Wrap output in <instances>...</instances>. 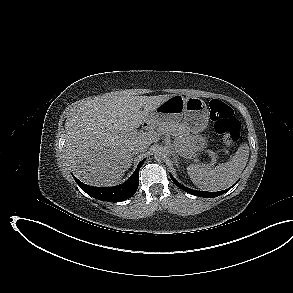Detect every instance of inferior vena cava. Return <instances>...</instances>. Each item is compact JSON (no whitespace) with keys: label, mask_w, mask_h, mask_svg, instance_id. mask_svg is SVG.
Segmentation results:
<instances>
[{"label":"inferior vena cava","mask_w":293,"mask_h":293,"mask_svg":"<svg viewBox=\"0 0 293 293\" xmlns=\"http://www.w3.org/2000/svg\"><path fill=\"white\" fill-rule=\"evenodd\" d=\"M146 146L144 144H138L135 146V148L133 149V153L134 154H138V153H142L145 152L146 150Z\"/></svg>","instance_id":"obj_1"}]
</instances>
